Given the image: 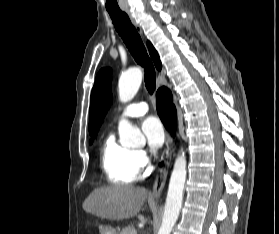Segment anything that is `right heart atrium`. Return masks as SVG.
<instances>
[{"mask_svg": "<svg viewBox=\"0 0 279 234\" xmlns=\"http://www.w3.org/2000/svg\"><path fill=\"white\" fill-rule=\"evenodd\" d=\"M136 158L139 165V168H146L150 164V157L145 150H137Z\"/></svg>", "mask_w": 279, "mask_h": 234, "instance_id": "d8ad5b80", "label": "right heart atrium"}]
</instances>
